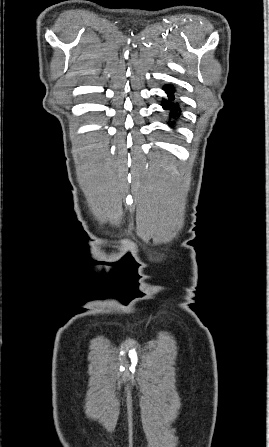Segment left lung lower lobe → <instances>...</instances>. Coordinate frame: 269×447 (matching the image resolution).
Wrapping results in <instances>:
<instances>
[{"instance_id": "0a47b994", "label": "left lung lower lobe", "mask_w": 269, "mask_h": 447, "mask_svg": "<svg viewBox=\"0 0 269 447\" xmlns=\"http://www.w3.org/2000/svg\"><path fill=\"white\" fill-rule=\"evenodd\" d=\"M164 90L166 91L169 99L163 100V102H162L163 108L171 111L170 116L172 118L179 117L180 114L178 113V107H176L175 104L173 103V101L175 99V97H174L175 90L171 86H166L164 88Z\"/></svg>"}]
</instances>
